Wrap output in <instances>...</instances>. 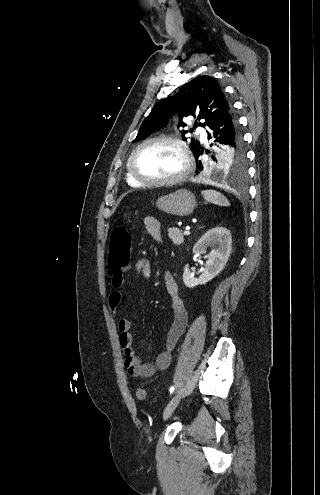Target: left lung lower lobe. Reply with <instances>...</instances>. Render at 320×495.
I'll use <instances>...</instances> for the list:
<instances>
[{
    "instance_id": "0a47b994",
    "label": "left lung lower lobe",
    "mask_w": 320,
    "mask_h": 495,
    "mask_svg": "<svg viewBox=\"0 0 320 495\" xmlns=\"http://www.w3.org/2000/svg\"><path fill=\"white\" fill-rule=\"evenodd\" d=\"M238 127V121L232 109L220 115L215 122L209 127L208 139H213L216 144L223 145L227 142H233ZM202 151L194 153L198 158ZM203 169L201 161H198L197 172Z\"/></svg>"
}]
</instances>
